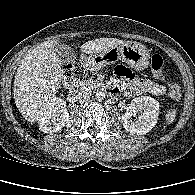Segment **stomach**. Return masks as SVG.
Masks as SVG:
<instances>
[{"label": "stomach", "instance_id": "obj_1", "mask_svg": "<svg viewBox=\"0 0 195 195\" xmlns=\"http://www.w3.org/2000/svg\"><path fill=\"white\" fill-rule=\"evenodd\" d=\"M120 59L136 70H144L149 64L150 53L140 43L127 42L124 45L113 47L105 53L91 55L88 63L91 70H100Z\"/></svg>", "mask_w": 195, "mask_h": 195}]
</instances>
